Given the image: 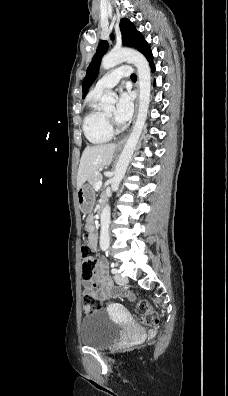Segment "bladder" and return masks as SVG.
<instances>
[{
  "label": "bladder",
  "mask_w": 228,
  "mask_h": 396,
  "mask_svg": "<svg viewBox=\"0 0 228 396\" xmlns=\"http://www.w3.org/2000/svg\"><path fill=\"white\" fill-rule=\"evenodd\" d=\"M120 338V327L114 324L104 310L84 316L80 325V342L98 350L107 349Z\"/></svg>",
  "instance_id": "bladder-1"
}]
</instances>
